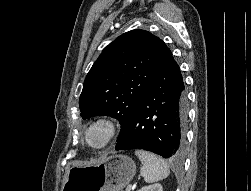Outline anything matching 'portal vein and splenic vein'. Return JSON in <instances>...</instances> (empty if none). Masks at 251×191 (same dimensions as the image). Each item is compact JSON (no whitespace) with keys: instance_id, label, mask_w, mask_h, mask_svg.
Instances as JSON below:
<instances>
[{"instance_id":"1","label":"portal vein and splenic vein","mask_w":251,"mask_h":191,"mask_svg":"<svg viewBox=\"0 0 251 191\" xmlns=\"http://www.w3.org/2000/svg\"><path fill=\"white\" fill-rule=\"evenodd\" d=\"M125 190L126 191H130L131 190V185L130 184H126L125 185Z\"/></svg>"}]
</instances>
